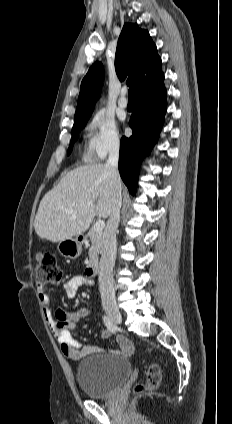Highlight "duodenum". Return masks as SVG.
Here are the masks:
<instances>
[{
  "mask_svg": "<svg viewBox=\"0 0 232 424\" xmlns=\"http://www.w3.org/2000/svg\"><path fill=\"white\" fill-rule=\"evenodd\" d=\"M99 272V260L97 258H93L86 268V273L89 276H95Z\"/></svg>",
  "mask_w": 232,
  "mask_h": 424,
  "instance_id": "obj_1",
  "label": "duodenum"
}]
</instances>
